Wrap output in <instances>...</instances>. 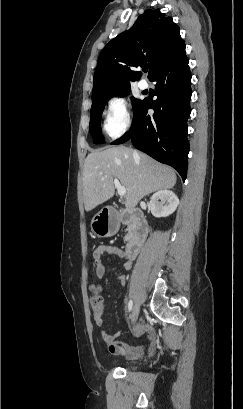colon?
<instances>
[{"label":"colon","mask_w":243,"mask_h":409,"mask_svg":"<svg viewBox=\"0 0 243 409\" xmlns=\"http://www.w3.org/2000/svg\"><path fill=\"white\" fill-rule=\"evenodd\" d=\"M94 295L91 298V306L94 310L101 309L103 307V298L99 293V289L94 288Z\"/></svg>","instance_id":"1"}]
</instances>
